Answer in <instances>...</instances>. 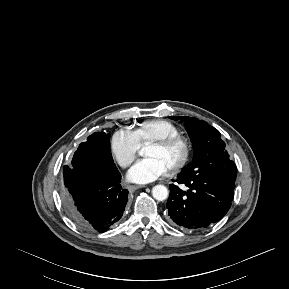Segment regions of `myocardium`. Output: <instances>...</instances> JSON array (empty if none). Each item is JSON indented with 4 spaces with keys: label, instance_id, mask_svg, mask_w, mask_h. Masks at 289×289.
<instances>
[{
    "label": "myocardium",
    "instance_id": "obj_1",
    "mask_svg": "<svg viewBox=\"0 0 289 289\" xmlns=\"http://www.w3.org/2000/svg\"><path fill=\"white\" fill-rule=\"evenodd\" d=\"M149 146L157 147L160 149H166L172 146L180 147L181 156L179 160L167 170L170 174H175L181 171L187 165L191 156V144L185 137L181 135L170 136L153 141L149 144Z\"/></svg>",
    "mask_w": 289,
    "mask_h": 289
}]
</instances>
